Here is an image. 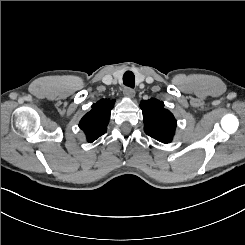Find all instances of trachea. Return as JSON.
Listing matches in <instances>:
<instances>
[{"label":"trachea","instance_id":"1","mask_svg":"<svg viewBox=\"0 0 245 245\" xmlns=\"http://www.w3.org/2000/svg\"><path fill=\"white\" fill-rule=\"evenodd\" d=\"M134 81H135V76L132 71H126L123 75V83L126 86H130L131 88H134Z\"/></svg>","mask_w":245,"mask_h":245}]
</instances>
